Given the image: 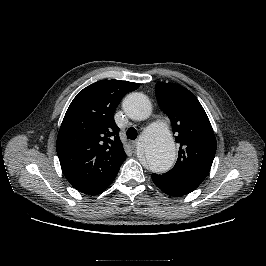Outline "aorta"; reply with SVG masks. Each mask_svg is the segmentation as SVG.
<instances>
[{
	"mask_svg": "<svg viewBox=\"0 0 266 266\" xmlns=\"http://www.w3.org/2000/svg\"><path fill=\"white\" fill-rule=\"evenodd\" d=\"M123 109L133 120H145L151 114V103L142 93H132L123 101ZM141 161L152 172L168 171L176 158L175 143L169 127L164 123L150 126L143 134Z\"/></svg>",
	"mask_w": 266,
	"mask_h": 266,
	"instance_id": "762f6f07",
	"label": "aorta"
}]
</instances>
